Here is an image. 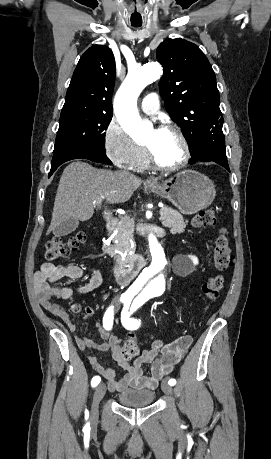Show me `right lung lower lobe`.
I'll return each instance as SVG.
<instances>
[{
    "label": "right lung lower lobe",
    "instance_id": "98d812e1",
    "mask_svg": "<svg viewBox=\"0 0 271 459\" xmlns=\"http://www.w3.org/2000/svg\"><path fill=\"white\" fill-rule=\"evenodd\" d=\"M72 159H88L94 162L112 164L107 158L105 151L85 147H74L53 155L49 177L61 164Z\"/></svg>",
    "mask_w": 271,
    "mask_h": 459
}]
</instances>
